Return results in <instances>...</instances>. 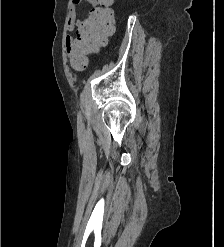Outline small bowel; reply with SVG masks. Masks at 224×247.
Here are the masks:
<instances>
[{"instance_id":"obj_1","label":"small bowel","mask_w":224,"mask_h":247,"mask_svg":"<svg viewBox=\"0 0 224 247\" xmlns=\"http://www.w3.org/2000/svg\"><path fill=\"white\" fill-rule=\"evenodd\" d=\"M97 1L98 0H72L71 2L66 25L67 29L69 31H74L76 35L68 36L65 42L67 53L71 58H76L83 53L80 50L77 36L85 20H81L78 18V9L84 3H88L94 8L97 6Z\"/></svg>"}]
</instances>
